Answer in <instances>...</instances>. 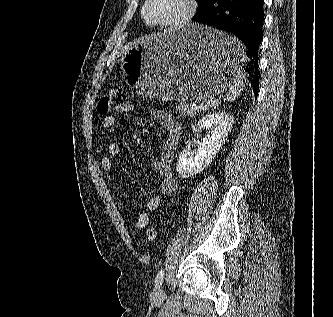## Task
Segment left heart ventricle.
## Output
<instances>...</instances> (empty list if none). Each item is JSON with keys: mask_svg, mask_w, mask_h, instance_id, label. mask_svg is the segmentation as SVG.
<instances>
[{"mask_svg": "<svg viewBox=\"0 0 333 317\" xmlns=\"http://www.w3.org/2000/svg\"><path fill=\"white\" fill-rule=\"evenodd\" d=\"M182 0H151L148 15L158 21H168L178 17L183 11Z\"/></svg>", "mask_w": 333, "mask_h": 317, "instance_id": "1", "label": "left heart ventricle"}]
</instances>
